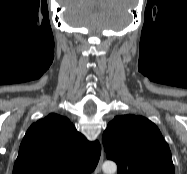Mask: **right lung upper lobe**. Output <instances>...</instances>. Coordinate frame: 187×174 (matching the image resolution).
<instances>
[{"mask_svg": "<svg viewBox=\"0 0 187 174\" xmlns=\"http://www.w3.org/2000/svg\"><path fill=\"white\" fill-rule=\"evenodd\" d=\"M99 142H89L66 117L49 114L26 132L13 174H90L99 161Z\"/></svg>", "mask_w": 187, "mask_h": 174, "instance_id": "right-lung-upper-lobe-1", "label": "right lung upper lobe"}]
</instances>
